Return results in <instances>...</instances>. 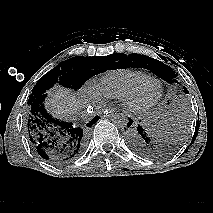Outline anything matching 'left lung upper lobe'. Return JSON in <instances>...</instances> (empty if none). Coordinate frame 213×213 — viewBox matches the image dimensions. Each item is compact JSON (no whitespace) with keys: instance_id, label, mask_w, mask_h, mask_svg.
<instances>
[{"instance_id":"obj_1","label":"left lung upper lobe","mask_w":213,"mask_h":213,"mask_svg":"<svg viewBox=\"0 0 213 213\" xmlns=\"http://www.w3.org/2000/svg\"><path fill=\"white\" fill-rule=\"evenodd\" d=\"M128 67L145 68L153 71L154 74L160 78L166 80L170 84L178 83L177 75L169 66L156 59L148 56L131 54L128 56ZM184 92L188 93V90L184 87Z\"/></svg>"}]
</instances>
